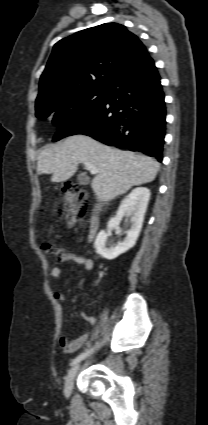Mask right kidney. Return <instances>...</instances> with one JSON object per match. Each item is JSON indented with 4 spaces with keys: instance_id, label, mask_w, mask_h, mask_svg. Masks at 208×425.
Segmentation results:
<instances>
[{
    "instance_id": "right-kidney-1",
    "label": "right kidney",
    "mask_w": 208,
    "mask_h": 425,
    "mask_svg": "<svg viewBox=\"0 0 208 425\" xmlns=\"http://www.w3.org/2000/svg\"><path fill=\"white\" fill-rule=\"evenodd\" d=\"M150 198V190L145 187H139L124 198L119 206L116 215L108 223V231H100L96 237L94 246L96 252L108 260L115 259L119 255L131 249L137 241L140 234L144 215ZM126 217L130 222V230L126 238L116 246L106 247L108 236L111 235L113 228L117 227L122 218Z\"/></svg>"
}]
</instances>
